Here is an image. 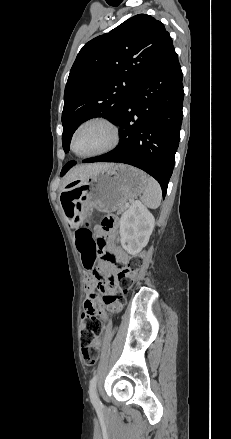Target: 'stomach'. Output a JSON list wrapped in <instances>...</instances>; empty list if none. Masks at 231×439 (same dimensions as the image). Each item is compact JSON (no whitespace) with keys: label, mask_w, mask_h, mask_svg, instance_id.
Listing matches in <instances>:
<instances>
[{"label":"stomach","mask_w":231,"mask_h":439,"mask_svg":"<svg viewBox=\"0 0 231 439\" xmlns=\"http://www.w3.org/2000/svg\"><path fill=\"white\" fill-rule=\"evenodd\" d=\"M75 182L73 187L64 188L60 197L63 213L72 225L84 222L94 208L102 212L122 210L129 199L145 190L148 177L137 168L114 164Z\"/></svg>","instance_id":"0dacf381"}]
</instances>
